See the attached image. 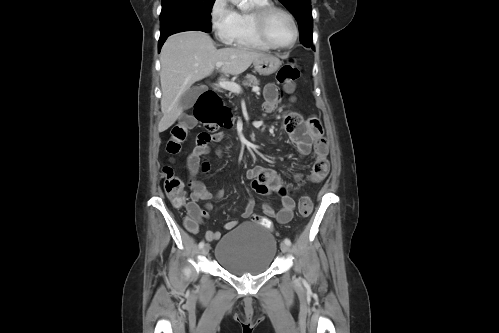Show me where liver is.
Instances as JSON below:
<instances>
[{
    "mask_svg": "<svg viewBox=\"0 0 499 333\" xmlns=\"http://www.w3.org/2000/svg\"><path fill=\"white\" fill-rule=\"evenodd\" d=\"M267 54L243 47L217 49L211 37L201 31L171 35L161 50L160 83L162 118L158 131L164 132L183 114L180 98L197 81L208 77L217 62L225 74L243 73L258 58Z\"/></svg>",
    "mask_w": 499,
    "mask_h": 333,
    "instance_id": "6515ba94",
    "label": "liver"
}]
</instances>
